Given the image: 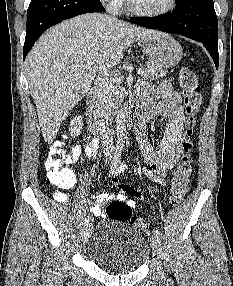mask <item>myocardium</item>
I'll use <instances>...</instances> for the list:
<instances>
[{
  "label": "myocardium",
  "mask_w": 233,
  "mask_h": 286,
  "mask_svg": "<svg viewBox=\"0 0 233 286\" xmlns=\"http://www.w3.org/2000/svg\"><path fill=\"white\" fill-rule=\"evenodd\" d=\"M127 6L131 12H133L136 15L142 16V17H148V18H156V17H161L164 15L169 14L172 12L177 5V0H170L169 5L161 10V11H156V12H151V11H146L138 8L132 0H126Z\"/></svg>",
  "instance_id": "1"
}]
</instances>
